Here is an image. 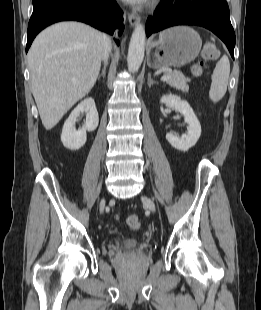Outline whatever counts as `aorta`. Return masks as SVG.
<instances>
[{"mask_svg": "<svg viewBox=\"0 0 261 310\" xmlns=\"http://www.w3.org/2000/svg\"><path fill=\"white\" fill-rule=\"evenodd\" d=\"M145 39L146 33L144 26L137 24L131 36L127 57L128 70L131 73L137 72L143 62Z\"/></svg>", "mask_w": 261, "mask_h": 310, "instance_id": "762f6f07", "label": "aorta"}]
</instances>
